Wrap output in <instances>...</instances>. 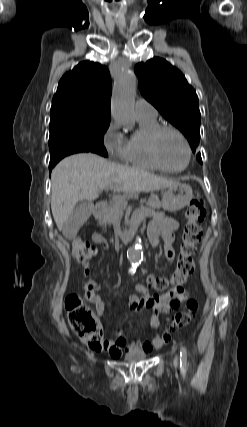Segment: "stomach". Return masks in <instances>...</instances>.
<instances>
[{
	"label": "stomach",
	"mask_w": 247,
	"mask_h": 427,
	"mask_svg": "<svg viewBox=\"0 0 247 427\" xmlns=\"http://www.w3.org/2000/svg\"><path fill=\"white\" fill-rule=\"evenodd\" d=\"M192 198L193 190L191 186L176 182L163 191L161 206L168 211H178L187 206Z\"/></svg>",
	"instance_id": "0dacf381"
}]
</instances>
